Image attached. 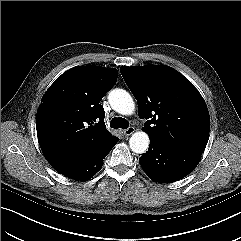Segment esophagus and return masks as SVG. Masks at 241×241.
Segmentation results:
<instances>
[{"mask_svg":"<svg viewBox=\"0 0 241 241\" xmlns=\"http://www.w3.org/2000/svg\"><path fill=\"white\" fill-rule=\"evenodd\" d=\"M135 132V128L134 127H129L127 129L124 130V135L125 136H130Z\"/></svg>","mask_w":241,"mask_h":241,"instance_id":"obj_1","label":"esophagus"}]
</instances>
